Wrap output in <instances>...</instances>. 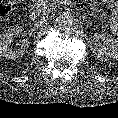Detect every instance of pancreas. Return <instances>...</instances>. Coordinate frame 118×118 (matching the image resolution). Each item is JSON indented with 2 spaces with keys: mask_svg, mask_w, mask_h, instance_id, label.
<instances>
[{
  "mask_svg": "<svg viewBox=\"0 0 118 118\" xmlns=\"http://www.w3.org/2000/svg\"><path fill=\"white\" fill-rule=\"evenodd\" d=\"M36 2L37 7L41 8L44 13L50 12L54 7L48 0H36ZM84 7L91 16H94L98 23H101L104 27H109L111 25V20L113 18L111 12L103 10L91 0L86 1Z\"/></svg>",
  "mask_w": 118,
  "mask_h": 118,
  "instance_id": "1",
  "label": "pancreas"
}]
</instances>
